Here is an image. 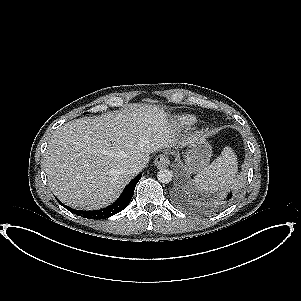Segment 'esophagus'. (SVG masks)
I'll list each match as a JSON object with an SVG mask.
<instances>
[{
    "instance_id": "esophagus-1",
    "label": "esophagus",
    "mask_w": 301,
    "mask_h": 301,
    "mask_svg": "<svg viewBox=\"0 0 301 301\" xmlns=\"http://www.w3.org/2000/svg\"><path fill=\"white\" fill-rule=\"evenodd\" d=\"M170 163L169 157L165 154H160L155 158L154 164L158 168H163L168 166Z\"/></svg>"
}]
</instances>
